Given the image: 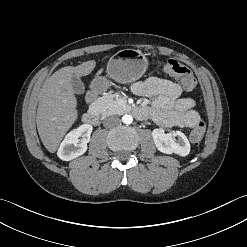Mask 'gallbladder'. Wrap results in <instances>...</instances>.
<instances>
[{
    "mask_svg": "<svg viewBox=\"0 0 247 247\" xmlns=\"http://www.w3.org/2000/svg\"><path fill=\"white\" fill-rule=\"evenodd\" d=\"M72 89L76 94H82L84 92L85 86L80 78L75 76L72 78Z\"/></svg>",
    "mask_w": 247,
    "mask_h": 247,
    "instance_id": "1",
    "label": "gallbladder"
}]
</instances>
